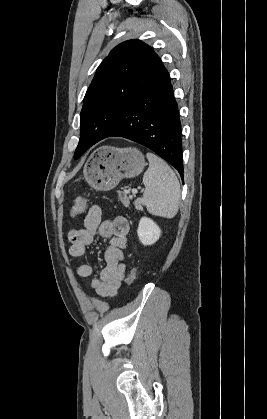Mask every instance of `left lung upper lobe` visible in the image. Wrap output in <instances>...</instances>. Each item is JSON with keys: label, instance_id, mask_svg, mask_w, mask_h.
<instances>
[{"label": "left lung upper lobe", "instance_id": "5c2ea615", "mask_svg": "<svg viewBox=\"0 0 267 419\" xmlns=\"http://www.w3.org/2000/svg\"><path fill=\"white\" fill-rule=\"evenodd\" d=\"M162 67L153 49L140 40L125 41L110 52L98 67L83 100L75 159L89 148L100 124L111 114L125 111Z\"/></svg>", "mask_w": 267, "mask_h": 419}]
</instances>
